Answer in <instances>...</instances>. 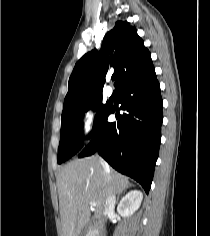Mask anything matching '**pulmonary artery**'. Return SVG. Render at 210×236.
Segmentation results:
<instances>
[{
	"label": "pulmonary artery",
	"instance_id": "obj_1",
	"mask_svg": "<svg viewBox=\"0 0 210 236\" xmlns=\"http://www.w3.org/2000/svg\"><path fill=\"white\" fill-rule=\"evenodd\" d=\"M106 94H107V96H112V95H113V90H112V88L107 87V88H106Z\"/></svg>",
	"mask_w": 210,
	"mask_h": 236
}]
</instances>
